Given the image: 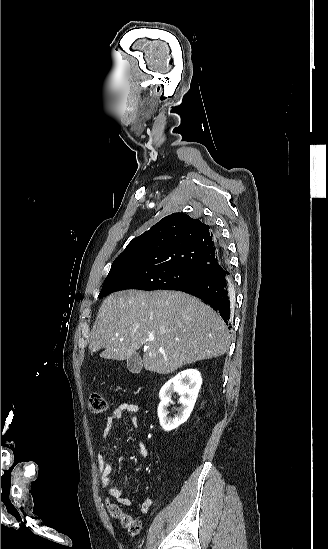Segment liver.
<instances>
[{"mask_svg":"<svg viewBox=\"0 0 328 549\" xmlns=\"http://www.w3.org/2000/svg\"><path fill=\"white\" fill-rule=\"evenodd\" d=\"M143 345L144 369L169 375L188 363L221 357L230 335L211 307L180 291L130 289L109 295L98 311L89 351L105 349L102 359L125 361Z\"/></svg>","mask_w":328,"mask_h":549,"instance_id":"obj_1","label":"liver"}]
</instances>
